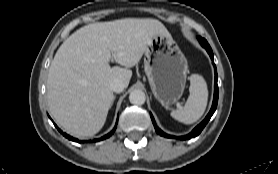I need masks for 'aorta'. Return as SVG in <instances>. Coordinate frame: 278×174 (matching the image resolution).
<instances>
[{"label":"aorta","instance_id":"obj_1","mask_svg":"<svg viewBox=\"0 0 278 174\" xmlns=\"http://www.w3.org/2000/svg\"><path fill=\"white\" fill-rule=\"evenodd\" d=\"M146 100L145 93L142 90H133L129 95V101L133 105H142Z\"/></svg>","mask_w":278,"mask_h":174}]
</instances>
